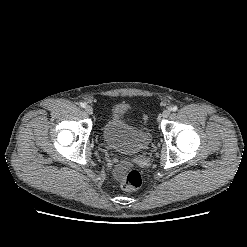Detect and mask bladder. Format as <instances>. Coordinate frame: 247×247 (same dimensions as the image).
I'll use <instances>...</instances> for the list:
<instances>
[{"label": "bladder", "instance_id": "obj_1", "mask_svg": "<svg viewBox=\"0 0 247 247\" xmlns=\"http://www.w3.org/2000/svg\"><path fill=\"white\" fill-rule=\"evenodd\" d=\"M128 106L115 105L108 114L101 131L104 143L126 155L146 150L152 142L148 128H139L127 120Z\"/></svg>", "mask_w": 247, "mask_h": 247}]
</instances>
